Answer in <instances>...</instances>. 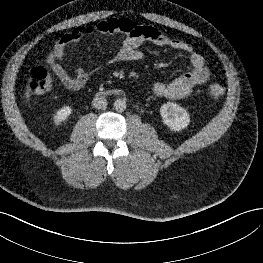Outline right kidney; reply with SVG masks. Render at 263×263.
<instances>
[{
	"label": "right kidney",
	"instance_id": "obj_1",
	"mask_svg": "<svg viewBox=\"0 0 263 263\" xmlns=\"http://www.w3.org/2000/svg\"><path fill=\"white\" fill-rule=\"evenodd\" d=\"M72 111V107L70 106H64L60 108L53 118L55 126H59L62 124V122H65L71 115Z\"/></svg>",
	"mask_w": 263,
	"mask_h": 263
}]
</instances>
